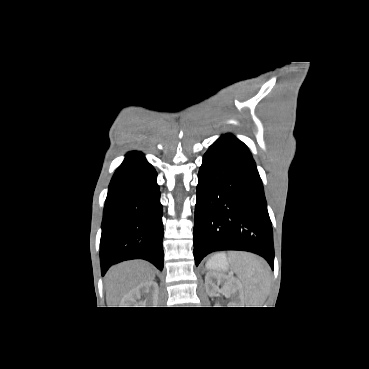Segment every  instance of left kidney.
Segmentation results:
<instances>
[{
  "label": "left kidney",
  "mask_w": 369,
  "mask_h": 369,
  "mask_svg": "<svg viewBox=\"0 0 369 369\" xmlns=\"http://www.w3.org/2000/svg\"><path fill=\"white\" fill-rule=\"evenodd\" d=\"M218 283H223L222 288L219 290L215 285L214 280ZM205 288L206 292L212 296L217 291L222 292L227 298H231L230 303L232 307H244V295L238 282L228 276L218 274L216 272H207L205 276Z\"/></svg>",
  "instance_id": "5707ae66"
}]
</instances>
